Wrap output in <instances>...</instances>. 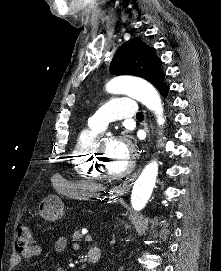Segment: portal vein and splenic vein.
Returning <instances> with one entry per match:
<instances>
[{
    "label": "portal vein and splenic vein",
    "mask_w": 221,
    "mask_h": 271,
    "mask_svg": "<svg viewBox=\"0 0 221 271\" xmlns=\"http://www.w3.org/2000/svg\"><path fill=\"white\" fill-rule=\"evenodd\" d=\"M93 238L92 234H87L86 237H84V242H91Z\"/></svg>",
    "instance_id": "18ae733b"
}]
</instances>
